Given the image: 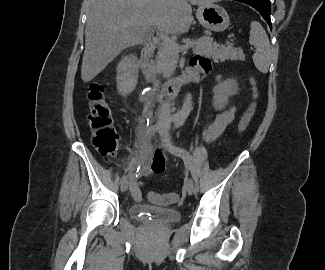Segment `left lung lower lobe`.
I'll list each match as a JSON object with an SVG mask.
<instances>
[{"label":"left lung lower lobe","instance_id":"obj_1","mask_svg":"<svg viewBox=\"0 0 325 270\" xmlns=\"http://www.w3.org/2000/svg\"><path fill=\"white\" fill-rule=\"evenodd\" d=\"M238 2L246 3L253 8H255L268 23L269 27L272 29L270 13H271V3L270 0H235Z\"/></svg>","mask_w":325,"mask_h":270}]
</instances>
